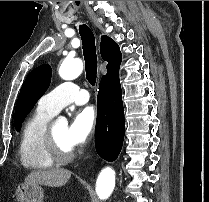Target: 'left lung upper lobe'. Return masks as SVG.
Listing matches in <instances>:
<instances>
[{"mask_svg":"<svg viewBox=\"0 0 209 202\" xmlns=\"http://www.w3.org/2000/svg\"><path fill=\"white\" fill-rule=\"evenodd\" d=\"M51 75V67L43 64L32 70L25 79L15 108L14 124L17 131L35 103L48 89Z\"/></svg>","mask_w":209,"mask_h":202,"instance_id":"obj_1","label":"left lung upper lobe"}]
</instances>
